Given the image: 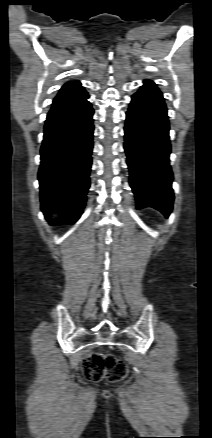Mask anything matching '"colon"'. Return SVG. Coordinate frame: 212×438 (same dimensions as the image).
<instances>
[{"mask_svg":"<svg viewBox=\"0 0 212 438\" xmlns=\"http://www.w3.org/2000/svg\"><path fill=\"white\" fill-rule=\"evenodd\" d=\"M83 372L88 380L100 381L106 379L116 383L127 376L128 367L123 360L112 355L91 353L84 361Z\"/></svg>","mask_w":212,"mask_h":438,"instance_id":"colon-1","label":"colon"}]
</instances>
